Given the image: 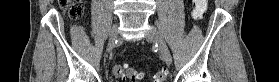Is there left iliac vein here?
Instances as JSON below:
<instances>
[{
    "mask_svg": "<svg viewBox=\"0 0 279 82\" xmlns=\"http://www.w3.org/2000/svg\"><path fill=\"white\" fill-rule=\"evenodd\" d=\"M146 37L159 46V51L163 61L166 64L170 65L172 63V56L160 31L155 26L151 25L150 31L148 32Z\"/></svg>",
    "mask_w": 279,
    "mask_h": 82,
    "instance_id": "1",
    "label": "left iliac vein"
}]
</instances>
